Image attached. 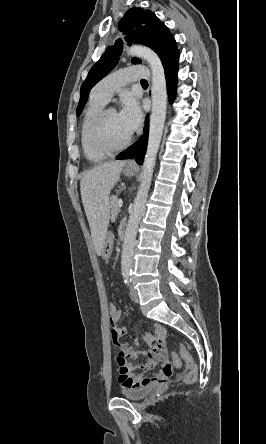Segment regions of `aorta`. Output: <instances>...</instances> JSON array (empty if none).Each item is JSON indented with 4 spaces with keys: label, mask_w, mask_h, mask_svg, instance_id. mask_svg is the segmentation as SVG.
Segmentation results:
<instances>
[{
    "label": "aorta",
    "mask_w": 266,
    "mask_h": 444,
    "mask_svg": "<svg viewBox=\"0 0 266 444\" xmlns=\"http://www.w3.org/2000/svg\"><path fill=\"white\" fill-rule=\"evenodd\" d=\"M129 53L146 60L151 69L152 111L150 116L147 150L143 164V171L141 174V183L139 191L137 192L134 200V205L129 216L124 236L121 256V270L123 275H129L131 272L137 229L140 219L145 213V204L151 185L157 153L163 135L167 109L165 71L158 55L150 48L140 45L130 47Z\"/></svg>",
    "instance_id": "aorta-1"
}]
</instances>
